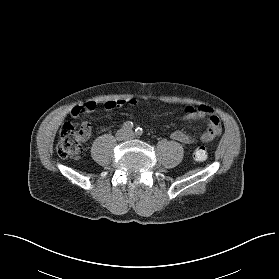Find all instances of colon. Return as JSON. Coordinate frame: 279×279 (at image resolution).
I'll return each instance as SVG.
<instances>
[{"instance_id":"colon-1","label":"colon","mask_w":279,"mask_h":279,"mask_svg":"<svg viewBox=\"0 0 279 279\" xmlns=\"http://www.w3.org/2000/svg\"><path fill=\"white\" fill-rule=\"evenodd\" d=\"M208 133L203 141H211L221 133V125L217 120V115L212 112L209 115ZM91 126L87 121L69 122L62 125L59 131L57 151L63 158L77 159L84 153L83 142L90 134ZM207 150L204 146H198L194 151V158L197 161H204L207 158Z\"/></svg>"}]
</instances>
